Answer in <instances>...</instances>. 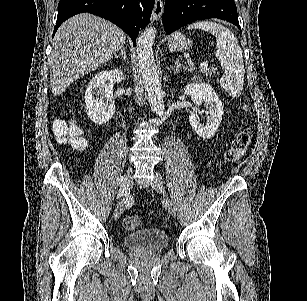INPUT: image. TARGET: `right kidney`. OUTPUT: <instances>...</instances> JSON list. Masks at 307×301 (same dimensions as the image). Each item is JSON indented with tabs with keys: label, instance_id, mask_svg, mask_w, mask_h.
<instances>
[{
	"label": "right kidney",
	"instance_id": "right-kidney-1",
	"mask_svg": "<svg viewBox=\"0 0 307 301\" xmlns=\"http://www.w3.org/2000/svg\"><path fill=\"white\" fill-rule=\"evenodd\" d=\"M125 74L121 68L101 70L91 78L85 90L86 112L95 124H104L115 112L113 100L114 82H122Z\"/></svg>",
	"mask_w": 307,
	"mask_h": 301
}]
</instances>
